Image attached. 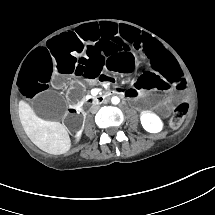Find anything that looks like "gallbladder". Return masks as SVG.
<instances>
[{"label":"gallbladder","mask_w":215,"mask_h":215,"mask_svg":"<svg viewBox=\"0 0 215 215\" xmlns=\"http://www.w3.org/2000/svg\"><path fill=\"white\" fill-rule=\"evenodd\" d=\"M34 115L57 121L61 119L66 108V100L57 90L38 93L32 102Z\"/></svg>","instance_id":"1"}]
</instances>
